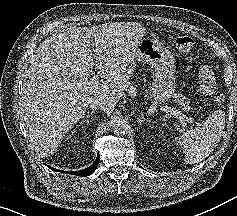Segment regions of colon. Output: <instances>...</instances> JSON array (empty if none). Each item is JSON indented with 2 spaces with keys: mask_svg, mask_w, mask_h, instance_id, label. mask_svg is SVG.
<instances>
[{
  "mask_svg": "<svg viewBox=\"0 0 237 216\" xmlns=\"http://www.w3.org/2000/svg\"><path fill=\"white\" fill-rule=\"evenodd\" d=\"M194 40L189 36H179L175 40V46L178 51L187 54L190 53L194 47ZM225 96L223 93L219 92L214 95V102L217 104L223 103Z\"/></svg>",
  "mask_w": 237,
  "mask_h": 216,
  "instance_id": "colon-1",
  "label": "colon"
}]
</instances>
